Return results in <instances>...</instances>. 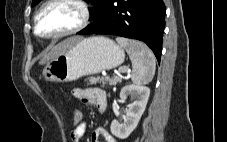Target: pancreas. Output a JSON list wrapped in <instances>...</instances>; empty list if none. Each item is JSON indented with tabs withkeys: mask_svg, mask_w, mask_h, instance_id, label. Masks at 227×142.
Masks as SVG:
<instances>
[{
	"mask_svg": "<svg viewBox=\"0 0 227 142\" xmlns=\"http://www.w3.org/2000/svg\"><path fill=\"white\" fill-rule=\"evenodd\" d=\"M89 84H97V83H101L102 86H105L106 84H109L110 86H115L118 83H120L122 81V77L120 76H114L112 78L110 77H106V76H102V77H89L87 78V80Z\"/></svg>",
	"mask_w": 227,
	"mask_h": 142,
	"instance_id": "cf45deb5",
	"label": "pancreas"
}]
</instances>
